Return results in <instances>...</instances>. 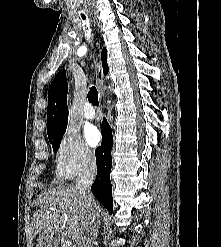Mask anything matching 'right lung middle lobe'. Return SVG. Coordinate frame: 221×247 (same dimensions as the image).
<instances>
[{
    "instance_id": "dd1d6c3e",
    "label": "right lung middle lobe",
    "mask_w": 221,
    "mask_h": 247,
    "mask_svg": "<svg viewBox=\"0 0 221 247\" xmlns=\"http://www.w3.org/2000/svg\"><path fill=\"white\" fill-rule=\"evenodd\" d=\"M64 133H65V131L62 132L61 134L55 136V137L49 138V141H50L52 148H53L55 153L58 151V149L60 147L61 138L63 137Z\"/></svg>"
}]
</instances>
